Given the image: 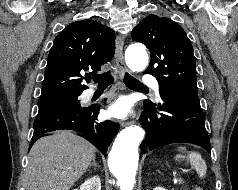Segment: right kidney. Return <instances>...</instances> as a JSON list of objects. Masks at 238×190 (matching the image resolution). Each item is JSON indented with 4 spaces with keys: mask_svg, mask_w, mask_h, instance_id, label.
<instances>
[{
    "mask_svg": "<svg viewBox=\"0 0 238 190\" xmlns=\"http://www.w3.org/2000/svg\"><path fill=\"white\" fill-rule=\"evenodd\" d=\"M78 190V189H75ZM79 190H101V181L98 176H93L87 179L81 186Z\"/></svg>",
    "mask_w": 238,
    "mask_h": 190,
    "instance_id": "1",
    "label": "right kidney"
}]
</instances>
